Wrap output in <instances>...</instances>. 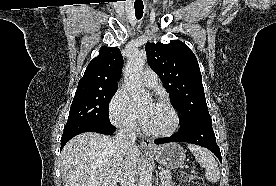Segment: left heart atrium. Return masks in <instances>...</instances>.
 I'll list each match as a JSON object with an SVG mask.
<instances>
[{
	"instance_id": "1",
	"label": "left heart atrium",
	"mask_w": 276,
	"mask_h": 186,
	"mask_svg": "<svg viewBox=\"0 0 276 186\" xmlns=\"http://www.w3.org/2000/svg\"><path fill=\"white\" fill-rule=\"evenodd\" d=\"M149 115H150V111H143L141 114H140V119L141 121L146 124V122L148 121V118H149Z\"/></svg>"
}]
</instances>
